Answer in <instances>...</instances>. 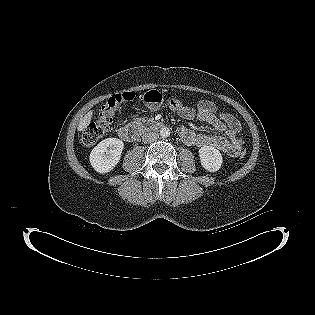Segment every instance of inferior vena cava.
I'll use <instances>...</instances> for the list:
<instances>
[{"label": "inferior vena cava", "instance_id": "602c4592", "mask_svg": "<svg viewBox=\"0 0 315 315\" xmlns=\"http://www.w3.org/2000/svg\"><path fill=\"white\" fill-rule=\"evenodd\" d=\"M159 137V135L155 132H148V133H145L143 136H142V141L144 143H152L154 142L155 140H157Z\"/></svg>", "mask_w": 315, "mask_h": 315}]
</instances>
